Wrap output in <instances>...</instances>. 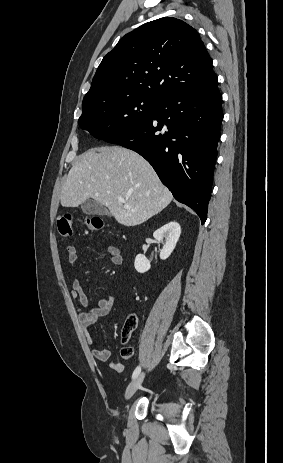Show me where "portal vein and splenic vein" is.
Here are the masks:
<instances>
[{
	"instance_id": "1",
	"label": "portal vein and splenic vein",
	"mask_w": 283,
	"mask_h": 463,
	"mask_svg": "<svg viewBox=\"0 0 283 463\" xmlns=\"http://www.w3.org/2000/svg\"><path fill=\"white\" fill-rule=\"evenodd\" d=\"M119 201L122 202V203H125V200L122 199V198H119Z\"/></svg>"
}]
</instances>
